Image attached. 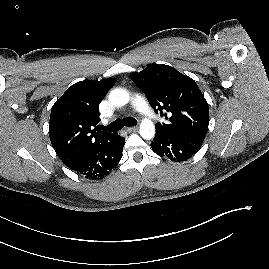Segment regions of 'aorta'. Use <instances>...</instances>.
<instances>
[{
  "label": "aorta",
  "mask_w": 269,
  "mask_h": 269,
  "mask_svg": "<svg viewBox=\"0 0 269 269\" xmlns=\"http://www.w3.org/2000/svg\"><path fill=\"white\" fill-rule=\"evenodd\" d=\"M129 98V93L123 88H116L109 94V101L118 107L126 105ZM139 133L143 139L150 140L155 136V125L150 119H143Z\"/></svg>",
  "instance_id": "1"
}]
</instances>
